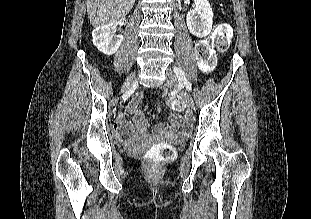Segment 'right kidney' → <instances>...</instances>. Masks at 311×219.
<instances>
[{
	"label": "right kidney",
	"instance_id": "1",
	"mask_svg": "<svg viewBox=\"0 0 311 219\" xmlns=\"http://www.w3.org/2000/svg\"><path fill=\"white\" fill-rule=\"evenodd\" d=\"M117 24L122 25L121 21L112 22L100 27H97L92 32L93 44L97 49L106 54H114L120 47L123 37L122 35H114L112 29L116 27Z\"/></svg>",
	"mask_w": 311,
	"mask_h": 219
}]
</instances>
